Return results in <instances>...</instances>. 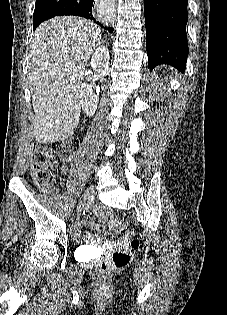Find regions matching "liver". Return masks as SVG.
<instances>
[{
  "label": "liver",
  "instance_id": "1",
  "mask_svg": "<svg viewBox=\"0 0 227 315\" xmlns=\"http://www.w3.org/2000/svg\"><path fill=\"white\" fill-rule=\"evenodd\" d=\"M100 40L99 26L73 16L50 19L35 30L28 79L38 143L64 140L74 133L84 72Z\"/></svg>",
  "mask_w": 227,
  "mask_h": 315
}]
</instances>
